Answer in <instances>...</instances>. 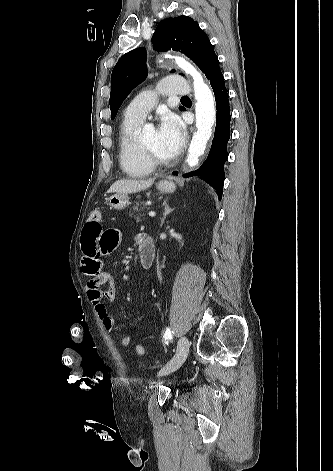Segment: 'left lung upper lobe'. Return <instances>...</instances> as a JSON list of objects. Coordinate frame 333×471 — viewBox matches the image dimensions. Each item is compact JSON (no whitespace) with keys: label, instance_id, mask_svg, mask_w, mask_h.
<instances>
[{"label":"left lung upper lobe","instance_id":"1","mask_svg":"<svg viewBox=\"0 0 333 471\" xmlns=\"http://www.w3.org/2000/svg\"><path fill=\"white\" fill-rule=\"evenodd\" d=\"M156 51L175 50L184 53L202 70L207 59L214 53L213 45L198 23L187 16L167 18L161 21L152 37ZM171 72H174L172 70ZM147 76L144 48L124 54L111 74L110 109L114 119L122 102ZM184 110V107H179Z\"/></svg>","mask_w":333,"mask_h":471}]
</instances>
